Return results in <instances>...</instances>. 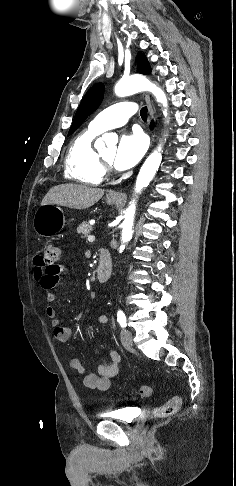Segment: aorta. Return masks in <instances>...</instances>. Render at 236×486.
<instances>
[{
	"mask_svg": "<svg viewBox=\"0 0 236 486\" xmlns=\"http://www.w3.org/2000/svg\"><path fill=\"white\" fill-rule=\"evenodd\" d=\"M114 91L115 94L119 97L132 95L140 91H149L155 96L156 100L161 103L165 108L163 111L164 116L166 117L168 114L167 98L165 93L161 88L157 87L154 83L150 82L143 76H130L127 78H122L115 85ZM110 139L111 136L109 134H105L96 141L95 145L97 148H101L102 146H104V142L109 141ZM161 149V145H159L158 148L148 156V158L142 165L135 184L136 193H140L144 187H147L155 176L162 161V155L160 152ZM135 210L136 202L134 199L130 202L129 207L125 212L124 221L122 223V245L119 249L120 252H122L125 248L124 243L130 241L132 238Z\"/></svg>",
	"mask_w": 236,
	"mask_h": 486,
	"instance_id": "obj_1",
	"label": "aorta"
}]
</instances>
